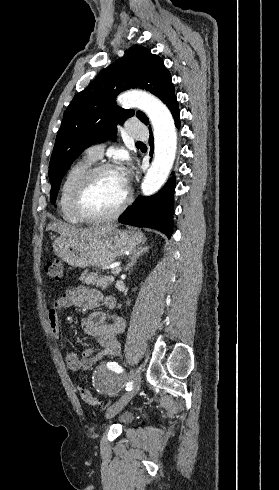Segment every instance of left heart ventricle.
Returning a JSON list of instances; mask_svg holds the SVG:
<instances>
[{"label": "left heart ventricle", "instance_id": "left-heart-ventricle-1", "mask_svg": "<svg viewBox=\"0 0 279 490\" xmlns=\"http://www.w3.org/2000/svg\"><path fill=\"white\" fill-rule=\"evenodd\" d=\"M126 193L119 171L103 172L96 178L89 194V209L97 214H108L123 202Z\"/></svg>", "mask_w": 279, "mask_h": 490}]
</instances>
